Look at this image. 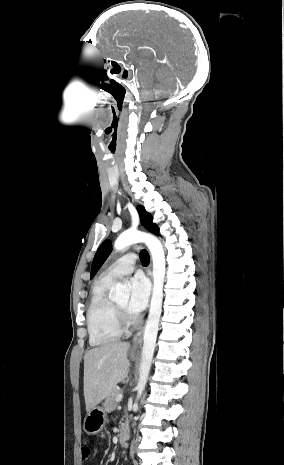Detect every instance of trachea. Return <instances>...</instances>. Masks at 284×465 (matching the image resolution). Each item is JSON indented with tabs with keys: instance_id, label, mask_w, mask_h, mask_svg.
<instances>
[{
	"instance_id": "obj_1",
	"label": "trachea",
	"mask_w": 284,
	"mask_h": 465,
	"mask_svg": "<svg viewBox=\"0 0 284 465\" xmlns=\"http://www.w3.org/2000/svg\"><path fill=\"white\" fill-rule=\"evenodd\" d=\"M140 260H141V263L143 265H148L149 264V261H150V258H149V254L146 250H141L140 251Z\"/></svg>"
}]
</instances>
